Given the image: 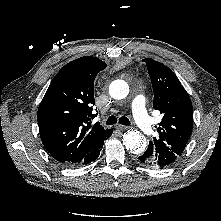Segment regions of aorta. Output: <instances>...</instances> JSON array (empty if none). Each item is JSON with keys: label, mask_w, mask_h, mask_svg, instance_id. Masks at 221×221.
<instances>
[{"label": "aorta", "mask_w": 221, "mask_h": 221, "mask_svg": "<svg viewBox=\"0 0 221 221\" xmlns=\"http://www.w3.org/2000/svg\"><path fill=\"white\" fill-rule=\"evenodd\" d=\"M109 93L114 99H124L129 93V86L123 80H115L110 84ZM123 145L134 154L142 153L146 148L143 135L136 130H128L123 135Z\"/></svg>", "instance_id": "762f6f07"}]
</instances>
